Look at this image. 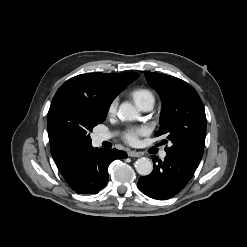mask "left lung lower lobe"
Returning <instances> with one entry per match:
<instances>
[{
  "instance_id": "1",
  "label": "left lung lower lobe",
  "mask_w": 247,
  "mask_h": 247,
  "mask_svg": "<svg viewBox=\"0 0 247 247\" xmlns=\"http://www.w3.org/2000/svg\"><path fill=\"white\" fill-rule=\"evenodd\" d=\"M154 169L148 176L139 178V190L154 199H168L177 194L188 183L199 163L167 154L164 161L153 156Z\"/></svg>"
}]
</instances>
